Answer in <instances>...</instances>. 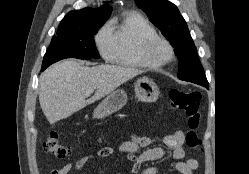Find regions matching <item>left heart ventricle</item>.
Returning <instances> with one entry per match:
<instances>
[{
	"instance_id": "left-heart-ventricle-1",
	"label": "left heart ventricle",
	"mask_w": 249,
	"mask_h": 174,
	"mask_svg": "<svg viewBox=\"0 0 249 174\" xmlns=\"http://www.w3.org/2000/svg\"><path fill=\"white\" fill-rule=\"evenodd\" d=\"M165 53H166V50H165L164 47H160V48L158 49V54H159V55H164Z\"/></svg>"
}]
</instances>
